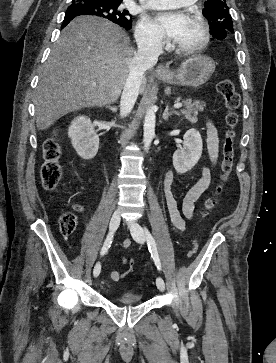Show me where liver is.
<instances>
[{
    "instance_id": "6515ba94",
    "label": "liver",
    "mask_w": 276,
    "mask_h": 363,
    "mask_svg": "<svg viewBox=\"0 0 276 363\" xmlns=\"http://www.w3.org/2000/svg\"><path fill=\"white\" fill-rule=\"evenodd\" d=\"M135 54L125 31L111 21L96 16L72 20L62 30L40 73L35 96L37 128L45 130L82 108L114 103ZM146 84L143 75L142 93Z\"/></svg>"
}]
</instances>
